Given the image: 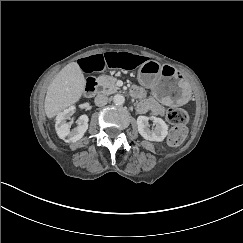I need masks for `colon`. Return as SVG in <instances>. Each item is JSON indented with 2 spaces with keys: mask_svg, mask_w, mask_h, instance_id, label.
I'll return each instance as SVG.
<instances>
[{
  "mask_svg": "<svg viewBox=\"0 0 243 243\" xmlns=\"http://www.w3.org/2000/svg\"><path fill=\"white\" fill-rule=\"evenodd\" d=\"M167 119L173 125L168 136V143L171 146H177L186 138L188 114L183 109L170 108L167 110Z\"/></svg>",
  "mask_w": 243,
  "mask_h": 243,
  "instance_id": "obj_1",
  "label": "colon"
}]
</instances>
